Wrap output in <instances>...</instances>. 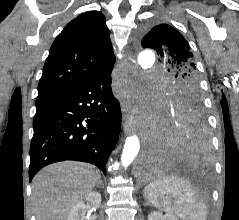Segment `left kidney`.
Returning <instances> with one entry per match:
<instances>
[{"instance_id":"left-kidney-1","label":"left kidney","mask_w":239,"mask_h":220,"mask_svg":"<svg viewBox=\"0 0 239 220\" xmlns=\"http://www.w3.org/2000/svg\"><path fill=\"white\" fill-rule=\"evenodd\" d=\"M148 220H179V219L171 213L163 215L161 212L153 211L148 215Z\"/></svg>"}]
</instances>
